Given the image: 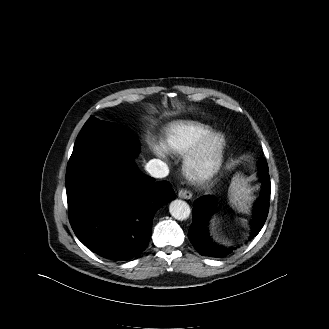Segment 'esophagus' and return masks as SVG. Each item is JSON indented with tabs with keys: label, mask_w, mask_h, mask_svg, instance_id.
Segmentation results:
<instances>
[{
	"label": "esophagus",
	"mask_w": 329,
	"mask_h": 329,
	"mask_svg": "<svg viewBox=\"0 0 329 329\" xmlns=\"http://www.w3.org/2000/svg\"><path fill=\"white\" fill-rule=\"evenodd\" d=\"M178 196H179V198H182V199H191L192 193L189 190L181 189L178 192Z\"/></svg>",
	"instance_id": "34e87169"
}]
</instances>
